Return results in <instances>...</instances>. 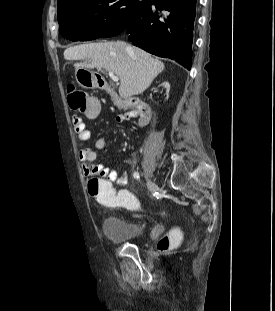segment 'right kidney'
I'll return each instance as SVG.
<instances>
[{
    "mask_svg": "<svg viewBox=\"0 0 275 311\" xmlns=\"http://www.w3.org/2000/svg\"><path fill=\"white\" fill-rule=\"evenodd\" d=\"M169 90H170V84L169 82H163L162 84H159L158 87H156L154 90H152L151 95L152 97H158L156 100V106L158 108H163L165 105L169 103Z\"/></svg>",
    "mask_w": 275,
    "mask_h": 311,
    "instance_id": "ca27d5eb",
    "label": "right kidney"
}]
</instances>
